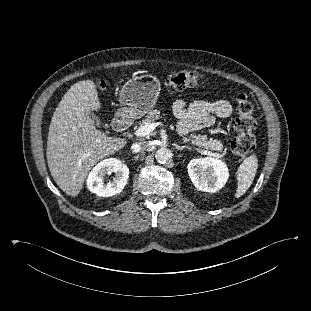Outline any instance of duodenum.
<instances>
[{"instance_id": "1", "label": "duodenum", "mask_w": 311, "mask_h": 311, "mask_svg": "<svg viewBox=\"0 0 311 311\" xmlns=\"http://www.w3.org/2000/svg\"><path fill=\"white\" fill-rule=\"evenodd\" d=\"M131 124V119L125 115H118L113 121V127L118 131L126 130Z\"/></svg>"}]
</instances>
